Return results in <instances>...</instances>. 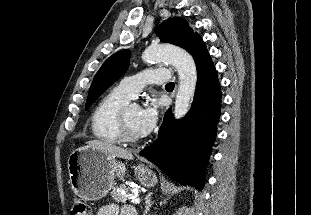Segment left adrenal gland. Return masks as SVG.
Wrapping results in <instances>:
<instances>
[{
  "label": "left adrenal gland",
  "mask_w": 311,
  "mask_h": 215,
  "mask_svg": "<svg viewBox=\"0 0 311 215\" xmlns=\"http://www.w3.org/2000/svg\"><path fill=\"white\" fill-rule=\"evenodd\" d=\"M150 198H151V195H150V194H149L148 196H146V198H145V204H146V206H145V210H144L143 215H146V214L149 212L151 206L153 205V202L151 201Z\"/></svg>",
  "instance_id": "1"
}]
</instances>
